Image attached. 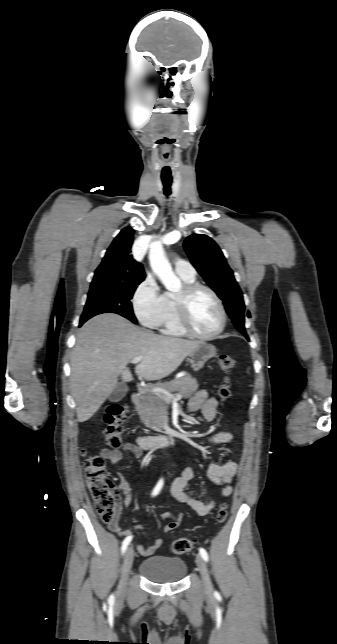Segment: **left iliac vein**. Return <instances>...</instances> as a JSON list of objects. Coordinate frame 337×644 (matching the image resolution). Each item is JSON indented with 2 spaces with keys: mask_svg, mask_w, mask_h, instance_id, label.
I'll return each instance as SVG.
<instances>
[{
  "mask_svg": "<svg viewBox=\"0 0 337 644\" xmlns=\"http://www.w3.org/2000/svg\"><path fill=\"white\" fill-rule=\"evenodd\" d=\"M196 564L202 577L205 592L210 593L212 591V584L209 578L207 565L200 555H197L196 557Z\"/></svg>",
  "mask_w": 337,
  "mask_h": 644,
  "instance_id": "left-iliac-vein-1",
  "label": "left iliac vein"
}]
</instances>
